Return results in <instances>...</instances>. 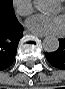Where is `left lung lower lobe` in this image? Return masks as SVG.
I'll use <instances>...</instances> for the list:
<instances>
[{"label": "left lung lower lobe", "instance_id": "1", "mask_svg": "<svg viewBox=\"0 0 65 89\" xmlns=\"http://www.w3.org/2000/svg\"><path fill=\"white\" fill-rule=\"evenodd\" d=\"M48 62L58 68L65 70V38L59 40V48L52 53H45Z\"/></svg>", "mask_w": 65, "mask_h": 89}]
</instances>
